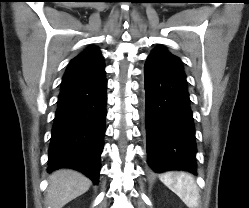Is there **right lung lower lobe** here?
Wrapping results in <instances>:
<instances>
[{
	"label": "right lung lower lobe",
	"mask_w": 249,
	"mask_h": 208,
	"mask_svg": "<svg viewBox=\"0 0 249 208\" xmlns=\"http://www.w3.org/2000/svg\"><path fill=\"white\" fill-rule=\"evenodd\" d=\"M106 89L103 73L61 90L49 146L48 172L73 168L98 183L104 146Z\"/></svg>",
	"instance_id": "1"
}]
</instances>
